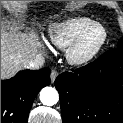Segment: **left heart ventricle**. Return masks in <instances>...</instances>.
I'll return each mask as SVG.
<instances>
[{
    "instance_id": "1",
    "label": "left heart ventricle",
    "mask_w": 123,
    "mask_h": 123,
    "mask_svg": "<svg viewBox=\"0 0 123 123\" xmlns=\"http://www.w3.org/2000/svg\"><path fill=\"white\" fill-rule=\"evenodd\" d=\"M102 37V31L100 29L94 30L84 41L80 51L85 53L93 48Z\"/></svg>"
}]
</instances>
